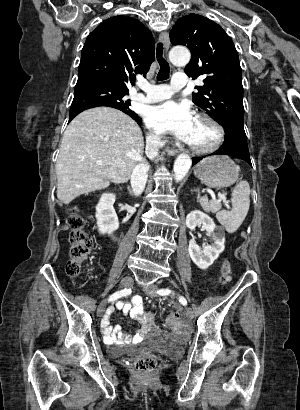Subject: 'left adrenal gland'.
<instances>
[{"label":"left adrenal gland","mask_w":300,"mask_h":410,"mask_svg":"<svg viewBox=\"0 0 300 410\" xmlns=\"http://www.w3.org/2000/svg\"><path fill=\"white\" fill-rule=\"evenodd\" d=\"M193 191L194 192H197V200H199V198H200V191H199V189L197 188V189H193Z\"/></svg>","instance_id":"obj_1"}]
</instances>
